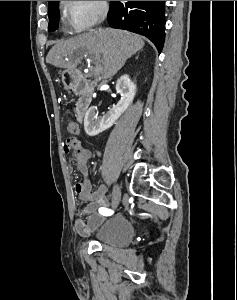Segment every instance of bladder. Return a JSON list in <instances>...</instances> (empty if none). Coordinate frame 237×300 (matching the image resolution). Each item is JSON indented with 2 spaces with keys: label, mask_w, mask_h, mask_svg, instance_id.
Wrapping results in <instances>:
<instances>
[{
  "label": "bladder",
  "mask_w": 237,
  "mask_h": 300,
  "mask_svg": "<svg viewBox=\"0 0 237 300\" xmlns=\"http://www.w3.org/2000/svg\"><path fill=\"white\" fill-rule=\"evenodd\" d=\"M133 223L123 215L105 220L92 234L94 241L112 247H126L134 239Z\"/></svg>",
  "instance_id": "1"
}]
</instances>
